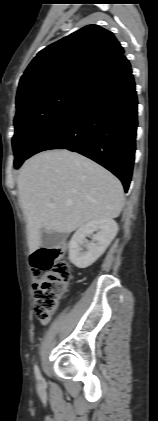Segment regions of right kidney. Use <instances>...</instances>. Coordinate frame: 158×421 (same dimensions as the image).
Wrapping results in <instances>:
<instances>
[{"label":"right kidney","mask_w":158,"mask_h":421,"mask_svg":"<svg viewBox=\"0 0 158 421\" xmlns=\"http://www.w3.org/2000/svg\"><path fill=\"white\" fill-rule=\"evenodd\" d=\"M117 232L118 225L112 219L87 222L73 234L69 242V260L78 268L89 267L105 252ZM88 235H92V241L87 243V251L82 252V245Z\"/></svg>","instance_id":"ca27d5eb"}]
</instances>
